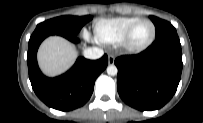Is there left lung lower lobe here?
<instances>
[{
	"label": "left lung lower lobe",
	"mask_w": 203,
	"mask_h": 123,
	"mask_svg": "<svg viewBox=\"0 0 203 123\" xmlns=\"http://www.w3.org/2000/svg\"><path fill=\"white\" fill-rule=\"evenodd\" d=\"M117 89L129 106L150 111L163 107L175 94L181 79L182 50L176 32L160 37L137 55L115 60Z\"/></svg>",
	"instance_id": "obj_1"
}]
</instances>
